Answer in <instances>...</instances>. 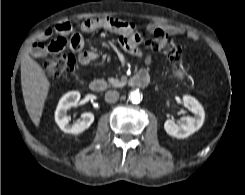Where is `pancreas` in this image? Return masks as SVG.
I'll return each mask as SVG.
<instances>
[{
    "mask_svg": "<svg viewBox=\"0 0 245 195\" xmlns=\"http://www.w3.org/2000/svg\"><path fill=\"white\" fill-rule=\"evenodd\" d=\"M108 82L110 85H112L113 87H120L122 85H124L126 83V80H119L117 78H108Z\"/></svg>",
    "mask_w": 245,
    "mask_h": 195,
    "instance_id": "obj_1",
    "label": "pancreas"
}]
</instances>
